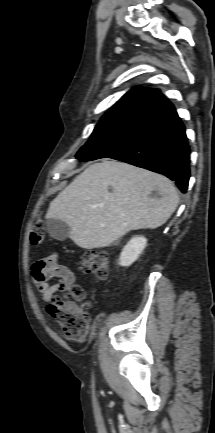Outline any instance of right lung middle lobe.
Returning <instances> with one entry per match:
<instances>
[{"mask_svg":"<svg viewBox=\"0 0 215 433\" xmlns=\"http://www.w3.org/2000/svg\"><path fill=\"white\" fill-rule=\"evenodd\" d=\"M148 119L124 117L100 121L76 158L87 162L108 157L125 147L142 129Z\"/></svg>","mask_w":215,"mask_h":433,"instance_id":"1","label":"right lung middle lobe"}]
</instances>
